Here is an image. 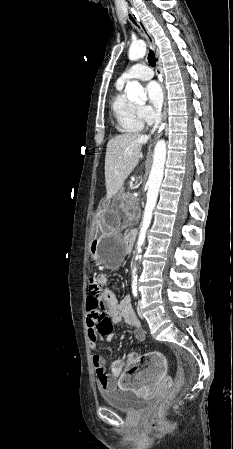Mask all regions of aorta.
<instances>
[{
	"mask_svg": "<svg viewBox=\"0 0 233 449\" xmlns=\"http://www.w3.org/2000/svg\"><path fill=\"white\" fill-rule=\"evenodd\" d=\"M146 54V44L144 41L139 40L133 42L129 48L128 57L130 60L134 61L143 58ZM127 98L129 100H146V93L143 86L138 81L128 82L125 88ZM166 161V142L161 139L157 142L154 149L153 165L148 178V192H147V202L143 214V220L141 224V230L137 240V254L135 260L140 258L141 247L145 242L146 232L150 226L153 210L155 208L159 188L163 179L164 174V164ZM136 267L133 268V276L136 274Z\"/></svg>",
	"mask_w": 233,
	"mask_h": 449,
	"instance_id": "aorta-1",
	"label": "aorta"
}]
</instances>
